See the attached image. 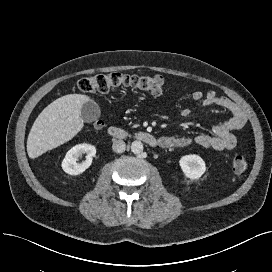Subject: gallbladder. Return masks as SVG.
I'll list each match as a JSON object with an SVG mask.
<instances>
[{"label": "gallbladder", "mask_w": 272, "mask_h": 272, "mask_svg": "<svg viewBox=\"0 0 272 272\" xmlns=\"http://www.w3.org/2000/svg\"><path fill=\"white\" fill-rule=\"evenodd\" d=\"M99 106L92 101L86 102L81 110V118L86 123H92L100 117Z\"/></svg>", "instance_id": "1"}]
</instances>
